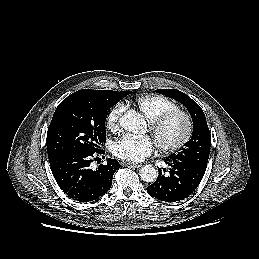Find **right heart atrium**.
<instances>
[{
  "label": "right heart atrium",
  "instance_id": "obj_1",
  "mask_svg": "<svg viewBox=\"0 0 259 259\" xmlns=\"http://www.w3.org/2000/svg\"><path fill=\"white\" fill-rule=\"evenodd\" d=\"M125 110L122 103L116 104L111 108L106 117V126L111 131H117L120 126V118Z\"/></svg>",
  "mask_w": 259,
  "mask_h": 259
}]
</instances>
